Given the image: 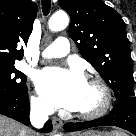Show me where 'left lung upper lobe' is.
Wrapping results in <instances>:
<instances>
[{"instance_id": "5c2ea615", "label": "left lung upper lobe", "mask_w": 136, "mask_h": 136, "mask_svg": "<svg viewBox=\"0 0 136 136\" xmlns=\"http://www.w3.org/2000/svg\"><path fill=\"white\" fill-rule=\"evenodd\" d=\"M71 17L69 34L81 55L114 91L135 96L129 40L122 17L101 0H60Z\"/></svg>"}]
</instances>
